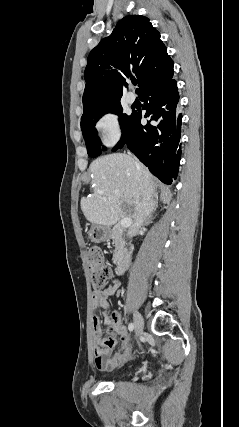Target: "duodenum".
<instances>
[{"instance_id":"1","label":"duodenum","mask_w":239,"mask_h":427,"mask_svg":"<svg viewBox=\"0 0 239 427\" xmlns=\"http://www.w3.org/2000/svg\"><path fill=\"white\" fill-rule=\"evenodd\" d=\"M131 263V252L129 248L122 247L116 257V274L122 275Z\"/></svg>"}]
</instances>
